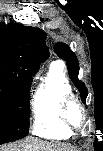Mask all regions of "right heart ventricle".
<instances>
[{
	"mask_svg": "<svg viewBox=\"0 0 103 151\" xmlns=\"http://www.w3.org/2000/svg\"><path fill=\"white\" fill-rule=\"evenodd\" d=\"M71 93L63 66L59 62H52L46 79L37 87L32 97L34 135L58 140L71 136V130L59 116L62 98Z\"/></svg>",
	"mask_w": 103,
	"mask_h": 151,
	"instance_id": "right-heart-ventricle-1",
	"label": "right heart ventricle"
}]
</instances>
